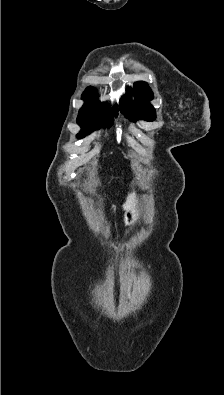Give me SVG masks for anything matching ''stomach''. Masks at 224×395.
<instances>
[{
    "label": "stomach",
    "mask_w": 224,
    "mask_h": 395,
    "mask_svg": "<svg viewBox=\"0 0 224 395\" xmlns=\"http://www.w3.org/2000/svg\"><path fill=\"white\" fill-rule=\"evenodd\" d=\"M139 216V211L136 206H132L131 208L127 209L124 214L123 222L125 226L134 225Z\"/></svg>",
    "instance_id": "stomach-1"
}]
</instances>
